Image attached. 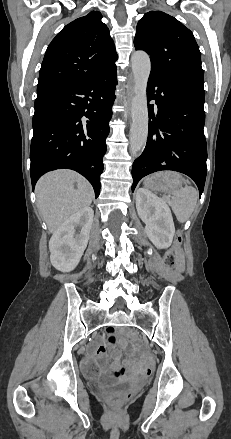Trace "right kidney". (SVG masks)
Masks as SVG:
<instances>
[{
  "mask_svg": "<svg viewBox=\"0 0 231 439\" xmlns=\"http://www.w3.org/2000/svg\"><path fill=\"white\" fill-rule=\"evenodd\" d=\"M93 216L92 208H84L54 232L49 241V250L51 263L56 269L69 272L78 265L88 244ZM76 227L81 228L79 234H75Z\"/></svg>",
  "mask_w": 231,
  "mask_h": 439,
  "instance_id": "1",
  "label": "right kidney"
}]
</instances>
